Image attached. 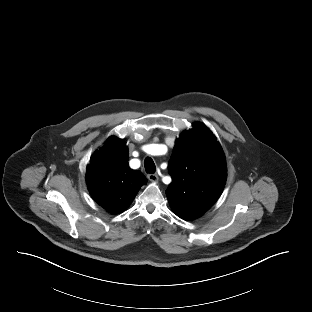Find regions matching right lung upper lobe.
<instances>
[{"label": "right lung upper lobe", "instance_id": "right-lung-upper-lobe-1", "mask_svg": "<svg viewBox=\"0 0 312 312\" xmlns=\"http://www.w3.org/2000/svg\"><path fill=\"white\" fill-rule=\"evenodd\" d=\"M86 181L93 199L110 213L118 214L130 205L147 179L129 167L126 143L110 137L91 157Z\"/></svg>", "mask_w": 312, "mask_h": 312}]
</instances>
